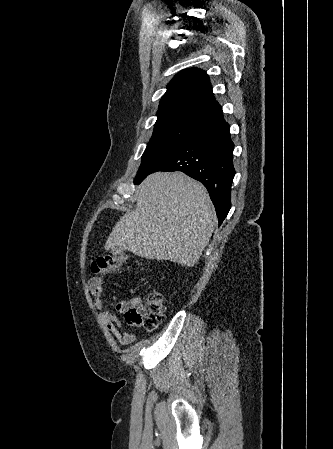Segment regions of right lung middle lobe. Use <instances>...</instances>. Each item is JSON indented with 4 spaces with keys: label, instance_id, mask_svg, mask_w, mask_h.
<instances>
[{
    "label": "right lung middle lobe",
    "instance_id": "1",
    "mask_svg": "<svg viewBox=\"0 0 333 449\" xmlns=\"http://www.w3.org/2000/svg\"><path fill=\"white\" fill-rule=\"evenodd\" d=\"M200 131L202 129L188 125H170L155 129L142 155L136 179L145 176L161 160Z\"/></svg>",
    "mask_w": 333,
    "mask_h": 449
}]
</instances>
